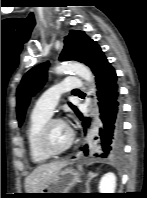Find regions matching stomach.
I'll use <instances>...</instances> for the list:
<instances>
[{"label":"stomach","mask_w":147,"mask_h":198,"mask_svg":"<svg viewBox=\"0 0 147 198\" xmlns=\"http://www.w3.org/2000/svg\"><path fill=\"white\" fill-rule=\"evenodd\" d=\"M81 173L73 168L67 167L61 170L58 175L47 184L42 190L34 194L33 198H53L62 197L61 194L68 191L80 182Z\"/></svg>","instance_id":"1"}]
</instances>
